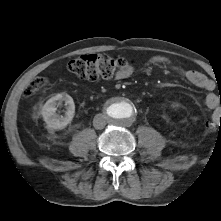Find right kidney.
Listing matches in <instances>:
<instances>
[{"label":"right kidney","mask_w":221,"mask_h":221,"mask_svg":"<svg viewBox=\"0 0 221 221\" xmlns=\"http://www.w3.org/2000/svg\"><path fill=\"white\" fill-rule=\"evenodd\" d=\"M65 101L66 113L60 116L56 113L57 107ZM41 115L48 128L53 130H62L71 123L75 115V104L73 98L61 93L51 97L42 107Z\"/></svg>","instance_id":"1"}]
</instances>
